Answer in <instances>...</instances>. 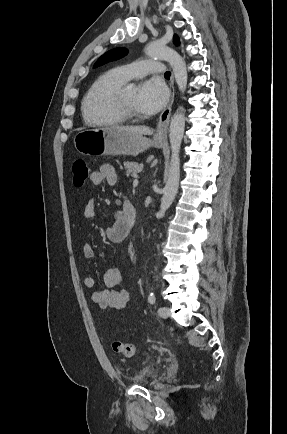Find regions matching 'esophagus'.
I'll use <instances>...</instances> for the list:
<instances>
[{
    "label": "esophagus",
    "mask_w": 287,
    "mask_h": 434,
    "mask_svg": "<svg viewBox=\"0 0 287 434\" xmlns=\"http://www.w3.org/2000/svg\"><path fill=\"white\" fill-rule=\"evenodd\" d=\"M174 96H175L174 77L172 76L171 83H170V101L168 106L161 112L158 118L157 130L155 134L156 139L162 140L166 137L171 110H172V104L174 102Z\"/></svg>",
    "instance_id": "esophagus-1"
}]
</instances>
